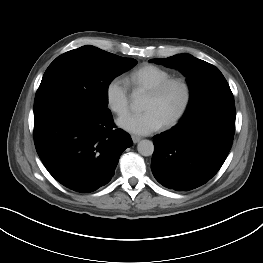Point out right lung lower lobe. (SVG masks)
Here are the masks:
<instances>
[{
  "mask_svg": "<svg viewBox=\"0 0 263 263\" xmlns=\"http://www.w3.org/2000/svg\"><path fill=\"white\" fill-rule=\"evenodd\" d=\"M111 113L61 104L34 112L36 151L48 172L65 187L92 192L114 175L120 155L132 146L128 133L115 129Z\"/></svg>",
  "mask_w": 263,
  "mask_h": 263,
  "instance_id": "right-lung-lower-lobe-1",
  "label": "right lung lower lobe"
}]
</instances>
